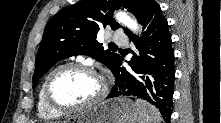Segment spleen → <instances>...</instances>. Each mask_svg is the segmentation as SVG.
<instances>
[{
	"mask_svg": "<svg viewBox=\"0 0 221 123\" xmlns=\"http://www.w3.org/2000/svg\"><path fill=\"white\" fill-rule=\"evenodd\" d=\"M135 104L139 123H161V114L156 107L141 99H137Z\"/></svg>",
	"mask_w": 221,
	"mask_h": 123,
	"instance_id": "3e777b00",
	"label": "spleen"
}]
</instances>
